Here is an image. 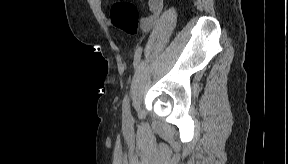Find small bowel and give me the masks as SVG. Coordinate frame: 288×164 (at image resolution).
Returning <instances> with one entry per match:
<instances>
[{
    "label": "small bowel",
    "mask_w": 288,
    "mask_h": 164,
    "mask_svg": "<svg viewBox=\"0 0 288 164\" xmlns=\"http://www.w3.org/2000/svg\"><path fill=\"white\" fill-rule=\"evenodd\" d=\"M149 7H150L151 15L144 19L145 29H148L152 24H154V22L160 15V13L163 10V2L162 0H150Z\"/></svg>",
    "instance_id": "c3829d8e"
}]
</instances>
